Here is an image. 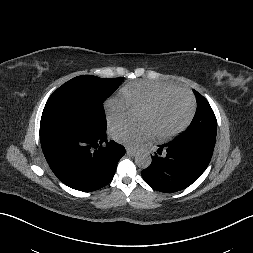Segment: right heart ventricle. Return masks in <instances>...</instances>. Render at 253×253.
Returning <instances> with one entry per match:
<instances>
[{
	"label": "right heart ventricle",
	"mask_w": 253,
	"mask_h": 253,
	"mask_svg": "<svg viewBox=\"0 0 253 253\" xmlns=\"http://www.w3.org/2000/svg\"><path fill=\"white\" fill-rule=\"evenodd\" d=\"M176 88L177 86L170 83L134 81L126 84L121 89V95L129 103L130 107L142 108L157 94Z\"/></svg>",
	"instance_id": "1"
}]
</instances>
